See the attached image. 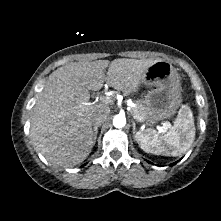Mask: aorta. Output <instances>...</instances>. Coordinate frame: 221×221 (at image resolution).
I'll return each instance as SVG.
<instances>
[{"label": "aorta", "mask_w": 221, "mask_h": 221, "mask_svg": "<svg viewBox=\"0 0 221 221\" xmlns=\"http://www.w3.org/2000/svg\"><path fill=\"white\" fill-rule=\"evenodd\" d=\"M125 124H126V118L124 115L118 114V115L114 116V118H113L114 127L122 128L125 126Z\"/></svg>", "instance_id": "obj_1"}]
</instances>
